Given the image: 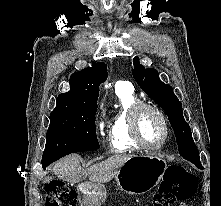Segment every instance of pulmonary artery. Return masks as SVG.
<instances>
[{
    "label": "pulmonary artery",
    "instance_id": "e3ab8cb5",
    "mask_svg": "<svg viewBox=\"0 0 221 206\" xmlns=\"http://www.w3.org/2000/svg\"><path fill=\"white\" fill-rule=\"evenodd\" d=\"M117 89H126V90H131V84L127 81H120L116 85Z\"/></svg>",
    "mask_w": 221,
    "mask_h": 206
}]
</instances>
